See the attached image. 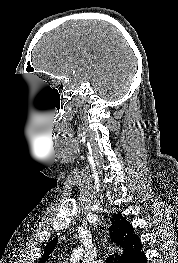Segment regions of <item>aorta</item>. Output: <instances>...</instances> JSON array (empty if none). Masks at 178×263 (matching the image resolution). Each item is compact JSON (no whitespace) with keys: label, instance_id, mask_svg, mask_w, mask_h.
<instances>
[{"label":"aorta","instance_id":"aorta-1","mask_svg":"<svg viewBox=\"0 0 178 263\" xmlns=\"http://www.w3.org/2000/svg\"><path fill=\"white\" fill-rule=\"evenodd\" d=\"M80 255H81V249L76 250L74 252L73 257L71 258V262L72 263H79Z\"/></svg>","mask_w":178,"mask_h":263}]
</instances>
